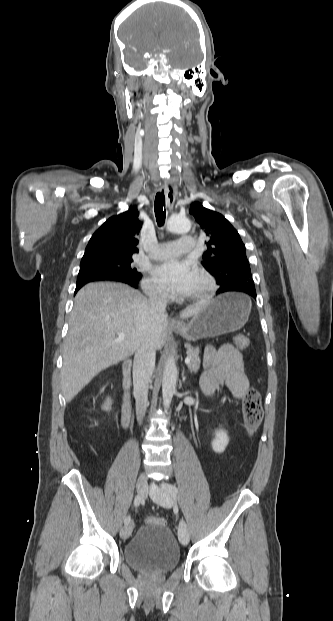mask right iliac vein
Instances as JSON below:
<instances>
[{
	"label": "right iliac vein",
	"instance_id": "obj_1",
	"mask_svg": "<svg viewBox=\"0 0 333 621\" xmlns=\"http://www.w3.org/2000/svg\"><path fill=\"white\" fill-rule=\"evenodd\" d=\"M147 478L144 474H141L138 479H137V492L142 495L145 496L146 492H147ZM133 530V524L130 523L126 526H124L121 531H120V536L122 539H127Z\"/></svg>",
	"mask_w": 333,
	"mask_h": 621
}]
</instances>
